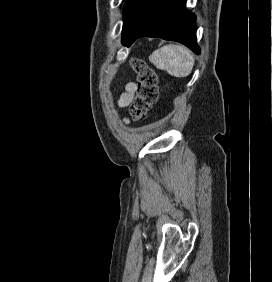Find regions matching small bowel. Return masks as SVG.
I'll return each instance as SVG.
<instances>
[{"label": "small bowel", "mask_w": 272, "mask_h": 282, "mask_svg": "<svg viewBox=\"0 0 272 282\" xmlns=\"http://www.w3.org/2000/svg\"><path fill=\"white\" fill-rule=\"evenodd\" d=\"M137 85L133 82H129L125 86L124 92L120 95L117 105L120 108L127 107L133 100L134 94L136 92ZM127 122V119H124Z\"/></svg>", "instance_id": "small-bowel-1"}]
</instances>
